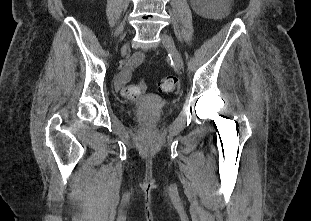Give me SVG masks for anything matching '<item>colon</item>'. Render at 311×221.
<instances>
[{"mask_svg": "<svg viewBox=\"0 0 311 221\" xmlns=\"http://www.w3.org/2000/svg\"><path fill=\"white\" fill-rule=\"evenodd\" d=\"M158 88L161 92L171 94L178 89V81L173 76H166L161 79ZM146 89L144 83L138 85H127L123 88L122 95L124 98H133L140 95Z\"/></svg>", "mask_w": 311, "mask_h": 221, "instance_id": "obj_1", "label": "colon"}]
</instances>
